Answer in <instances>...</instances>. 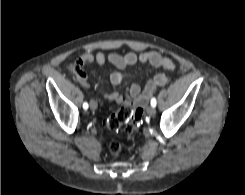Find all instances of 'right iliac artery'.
<instances>
[{
	"mask_svg": "<svg viewBox=\"0 0 245 195\" xmlns=\"http://www.w3.org/2000/svg\"><path fill=\"white\" fill-rule=\"evenodd\" d=\"M88 107H89L88 103H87V102H84V103H83V108H84L85 110H87Z\"/></svg>",
	"mask_w": 245,
	"mask_h": 195,
	"instance_id": "obj_1",
	"label": "right iliac artery"
}]
</instances>
